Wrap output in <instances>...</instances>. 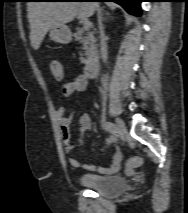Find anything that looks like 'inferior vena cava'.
<instances>
[{
	"label": "inferior vena cava",
	"instance_id": "1",
	"mask_svg": "<svg viewBox=\"0 0 188 213\" xmlns=\"http://www.w3.org/2000/svg\"><path fill=\"white\" fill-rule=\"evenodd\" d=\"M97 11H98V22H99V30H100V55L103 62L106 63L108 59L107 37L105 36V33H104L102 21L99 18V11H101V9L98 8Z\"/></svg>",
	"mask_w": 188,
	"mask_h": 213
}]
</instances>
